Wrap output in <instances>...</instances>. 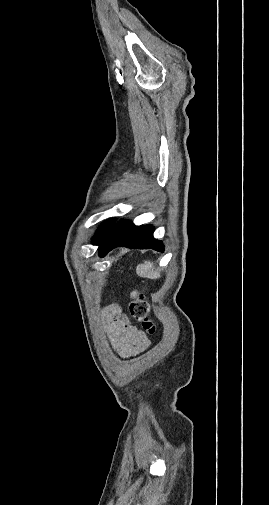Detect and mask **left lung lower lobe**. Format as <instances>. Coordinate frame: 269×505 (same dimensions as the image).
Masks as SVG:
<instances>
[{
  "mask_svg": "<svg viewBox=\"0 0 269 505\" xmlns=\"http://www.w3.org/2000/svg\"><path fill=\"white\" fill-rule=\"evenodd\" d=\"M154 227L150 225L135 226L132 222L121 220L113 225L107 235L97 244L99 256H105L113 248L154 249L164 251L161 241L153 238Z\"/></svg>",
  "mask_w": 269,
  "mask_h": 505,
  "instance_id": "1",
  "label": "left lung lower lobe"
}]
</instances>
